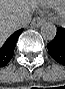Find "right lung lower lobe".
Instances as JSON below:
<instances>
[{"instance_id": "1", "label": "right lung lower lobe", "mask_w": 65, "mask_h": 89, "mask_svg": "<svg viewBox=\"0 0 65 89\" xmlns=\"http://www.w3.org/2000/svg\"><path fill=\"white\" fill-rule=\"evenodd\" d=\"M22 31L23 29L16 31L6 40V42L3 45L1 43L0 45V67L5 66L13 57L16 42Z\"/></svg>"}]
</instances>
